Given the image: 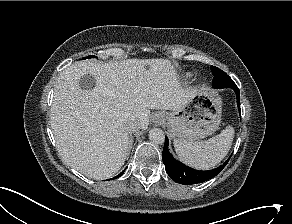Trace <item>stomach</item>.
I'll use <instances>...</instances> for the list:
<instances>
[{
    "mask_svg": "<svg viewBox=\"0 0 292 224\" xmlns=\"http://www.w3.org/2000/svg\"><path fill=\"white\" fill-rule=\"evenodd\" d=\"M222 98L208 87H202L180 109L164 112L169 136L174 140L194 142L219 129Z\"/></svg>",
    "mask_w": 292,
    "mask_h": 224,
    "instance_id": "0dacf381",
    "label": "stomach"
}]
</instances>
